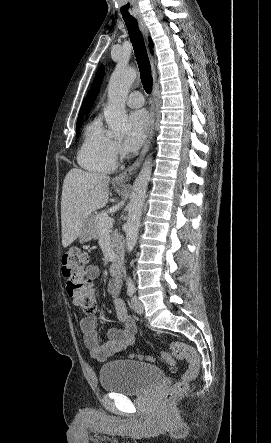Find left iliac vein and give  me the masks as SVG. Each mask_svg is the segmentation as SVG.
<instances>
[{"label":"left iliac vein","instance_id":"obj_1","mask_svg":"<svg viewBox=\"0 0 271 443\" xmlns=\"http://www.w3.org/2000/svg\"><path fill=\"white\" fill-rule=\"evenodd\" d=\"M131 306H132V309L137 313V314H143V312H144V306H143V304L141 303V301L136 297V296H133L132 298H131Z\"/></svg>","mask_w":271,"mask_h":443}]
</instances>
